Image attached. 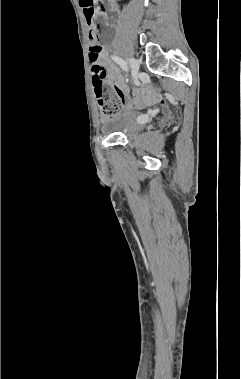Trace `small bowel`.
I'll return each instance as SVG.
<instances>
[{
  "mask_svg": "<svg viewBox=\"0 0 241 379\" xmlns=\"http://www.w3.org/2000/svg\"><path fill=\"white\" fill-rule=\"evenodd\" d=\"M108 80L109 83L112 85L116 95L121 98L123 102V107L125 109L142 108L144 106L152 105L162 101V95L159 91L146 86L136 88L133 92L132 99L129 100L128 87L117 68L113 65L108 66Z\"/></svg>",
  "mask_w": 241,
  "mask_h": 379,
  "instance_id": "obj_1",
  "label": "small bowel"
}]
</instances>
